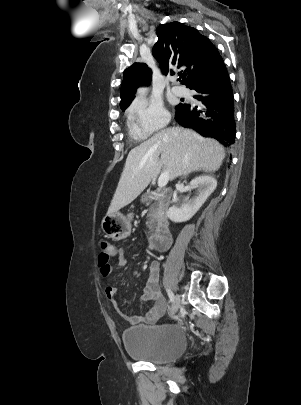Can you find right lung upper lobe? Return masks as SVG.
I'll list each match as a JSON object with an SVG mask.
<instances>
[{
    "instance_id": "right-lung-upper-lobe-1",
    "label": "right lung upper lobe",
    "mask_w": 301,
    "mask_h": 405,
    "mask_svg": "<svg viewBox=\"0 0 301 405\" xmlns=\"http://www.w3.org/2000/svg\"><path fill=\"white\" fill-rule=\"evenodd\" d=\"M158 41L152 54L161 64L163 74L182 68L183 84H193L213 76L223 65V59L211 41L195 28L180 22L162 25L157 30ZM151 69L145 63H134L124 71L120 107L125 110L134 99L140 84H149Z\"/></svg>"
}]
</instances>
